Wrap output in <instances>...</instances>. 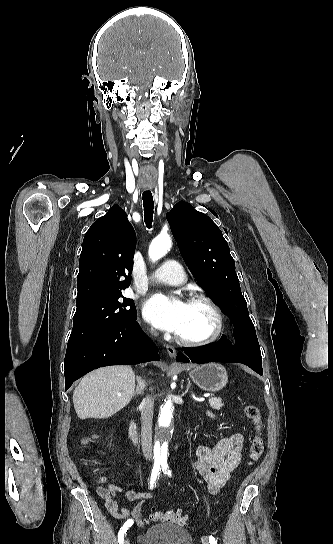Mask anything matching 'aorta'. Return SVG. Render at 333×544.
<instances>
[{"label": "aorta", "mask_w": 333, "mask_h": 544, "mask_svg": "<svg viewBox=\"0 0 333 544\" xmlns=\"http://www.w3.org/2000/svg\"><path fill=\"white\" fill-rule=\"evenodd\" d=\"M172 242L168 235L157 236L149 246V258L155 262L162 258L171 248ZM173 404L168 400L161 408L158 426L155 433V455L162 458L167 456L168 444L171 439V419Z\"/></svg>", "instance_id": "aorta-1"}]
</instances>
